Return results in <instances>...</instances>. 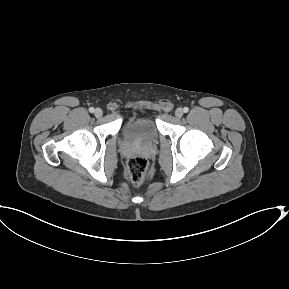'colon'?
Masks as SVG:
<instances>
[{
  "instance_id": "colon-1",
  "label": "colon",
  "mask_w": 289,
  "mask_h": 289,
  "mask_svg": "<svg viewBox=\"0 0 289 289\" xmlns=\"http://www.w3.org/2000/svg\"><path fill=\"white\" fill-rule=\"evenodd\" d=\"M127 173L131 182L140 185L148 171V161L141 156H134L127 160Z\"/></svg>"
}]
</instances>
